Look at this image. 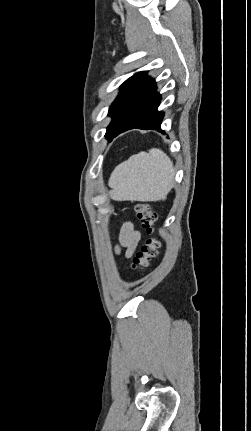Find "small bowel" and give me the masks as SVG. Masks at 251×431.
Here are the masks:
<instances>
[{"label": "small bowel", "mask_w": 251, "mask_h": 431, "mask_svg": "<svg viewBox=\"0 0 251 431\" xmlns=\"http://www.w3.org/2000/svg\"><path fill=\"white\" fill-rule=\"evenodd\" d=\"M140 238L139 231L134 228L132 223L128 222L124 224L120 232L119 245L116 247V252L120 253L121 249H124L125 256L127 258L131 257Z\"/></svg>", "instance_id": "small-bowel-1"}]
</instances>
